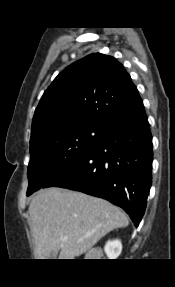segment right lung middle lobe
I'll use <instances>...</instances> for the list:
<instances>
[{"label":"right lung middle lobe","instance_id":"right-lung-middle-lobe-1","mask_svg":"<svg viewBox=\"0 0 175 287\" xmlns=\"http://www.w3.org/2000/svg\"><path fill=\"white\" fill-rule=\"evenodd\" d=\"M105 128L96 123L74 125L30 142L27 196L85 157L104 136Z\"/></svg>","mask_w":175,"mask_h":287}]
</instances>
